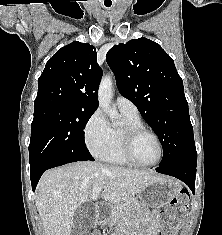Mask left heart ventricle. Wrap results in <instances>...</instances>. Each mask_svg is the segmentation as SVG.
Instances as JSON below:
<instances>
[{
	"mask_svg": "<svg viewBox=\"0 0 222 235\" xmlns=\"http://www.w3.org/2000/svg\"><path fill=\"white\" fill-rule=\"evenodd\" d=\"M134 156L141 163H152L159 156V146L149 134H142L134 145Z\"/></svg>",
	"mask_w": 222,
	"mask_h": 235,
	"instance_id": "left-heart-ventricle-1",
	"label": "left heart ventricle"
}]
</instances>
